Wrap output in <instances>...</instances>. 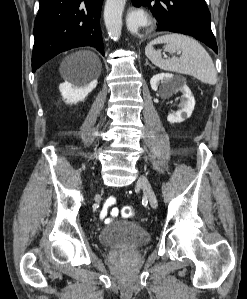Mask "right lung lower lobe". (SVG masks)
<instances>
[{
	"mask_svg": "<svg viewBox=\"0 0 247 299\" xmlns=\"http://www.w3.org/2000/svg\"><path fill=\"white\" fill-rule=\"evenodd\" d=\"M34 22L32 71L60 52L95 47L104 55L100 29L103 0H39Z\"/></svg>",
	"mask_w": 247,
	"mask_h": 299,
	"instance_id": "obj_1",
	"label": "right lung lower lobe"
}]
</instances>
